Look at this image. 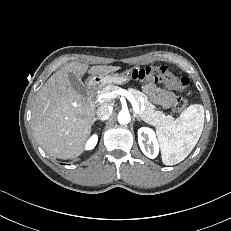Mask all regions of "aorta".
<instances>
[{
  "instance_id": "762f6f07",
  "label": "aorta",
  "mask_w": 231,
  "mask_h": 231,
  "mask_svg": "<svg viewBox=\"0 0 231 231\" xmlns=\"http://www.w3.org/2000/svg\"><path fill=\"white\" fill-rule=\"evenodd\" d=\"M130 119H131V117H130V114H129L128 111L119 112V114H118V122L120 124H123V125L128 124L130 122Z\"/></svg>"
}]
</instances>
